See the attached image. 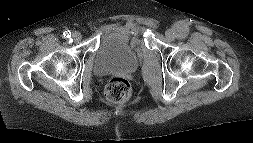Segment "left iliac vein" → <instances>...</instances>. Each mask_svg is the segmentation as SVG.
Wrapping results in <instances>:
<instances>
[{
	"mask_svg": "<svg viewBox=\"0 0 253 143\" xmlns=\"http://www.w3.org/2000/svg\"><path fill=\"white\" fill-rule=\"evenodd\" d=\"M165 36H166L167 39L173 40V39H175V37H176V32H175L173 29H168V30L165 32Z\"/></svg>",
	"mask_w": 253,
	"mask_h": 143,
	"instance_id": "left-iliac-vein-1",
	"label": "left iliac vein"
}]
</instances>
